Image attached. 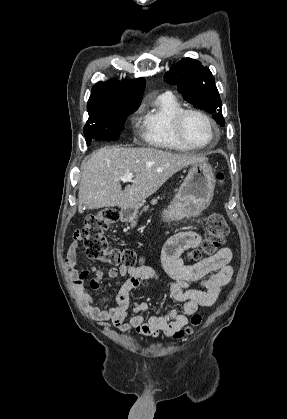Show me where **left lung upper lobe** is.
<instances>
[{"label":"left lung upper lobe","mask_w":287,"mask_h":419,"mask_svg":"<svg viewBox=\"0 0 287 419\" xmlns=\"http://www.w3.org/2000/svg\"><path fill=\"white\" fill-rule=\"evenodd\" d=\"M164 79L177 86V90L194 107L212 114L215 121L224 125L222 103L215 85V79L201 62L184 58L168 71Z\"/></svg>","instance_id":"5c2ea615"}]
</instances>
